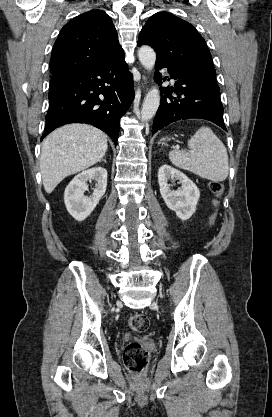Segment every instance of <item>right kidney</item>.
<instances>
[{
  "label": "right kidney",
  "instance_id": "1",
  "mask_svg": "<svg viewBox=\"0 0 272 417\" xmlns=\"http://www.w3.org/2000/svg\"><path fill=\"white\" fill-rule=\"evenodd\" d=\"M94 179L96 187L92 196H84L88 189L87 181ZM107 187V170L94 167L82 171L69 183L64 192V202L69 214L77 221L85 220L95 209Z\"/></svg>",
  "mask_w": 272,
  "mask_h": 417
}]
</instances>
